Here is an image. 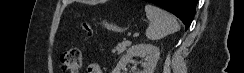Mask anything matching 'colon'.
I'll return each mask as SVG.
<instances>
[{
  "instance_id": "1",
  "label": "colon",
  "mask_w": 244,
  "mask_h": 73,
  "mask_svg": "<svg viewBox=\"0 0 244 73\" xmlns=\"http://www.w3.org/2000/svg\"><path fill=\"white\" fill-rule=\"evenodd\" d=\"M83 31L86 36L92 32L91 26L84 22L82 24ZM82 49L79 47H71L64 51L60 57V66L67 73H80L82 68Z\"/></svg>"
}]
</instances>
